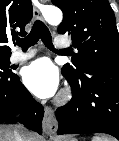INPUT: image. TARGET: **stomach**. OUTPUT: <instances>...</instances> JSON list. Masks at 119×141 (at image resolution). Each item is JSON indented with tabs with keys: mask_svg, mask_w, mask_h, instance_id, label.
<instances>
[{
	"mask_svg": "<svg viewBox=\"0 0 119 141\" xmlns=\"http://www.w3.org/2000/svg\"><path fill=\"white\" fill-rule=\"evenodd\" d=\"M63 141H77V140L75 138L68 137L65 138Z\"/></svg>",
	"mask_w": 119,
	"mask_h": 141,
	"instance_id": "stomach-1",
	"label": "stomach"
}]
</instances>
